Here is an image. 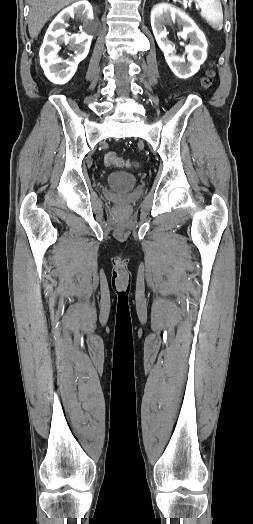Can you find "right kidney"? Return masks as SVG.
Instances as JSON below:
<instances>
[{
  "instance_id": "1",
  "label": "right kidney",
  "mask_w": 253,
  "mask_h": 524,
  "mask_svg": "<svg viewBox=\"0 0 253 524\" xmlns=\"http://www.w3.org/2000/svg\"><path fill=\"white\" fill-rule=\"evenodd\" d=\"M74 17L83 21V30L80 34L68 35L64 25L70 18ZM92 19L91 4L82 0L64 9L50 24L39 55L41 67L51 82L55 84L67 83L75 74L79 62L88 55L92 40L90 22ZM60 43L68 44L69 49L74 51L72 58L62 60L58 56Z\"/></svg>"
}]
</instances>
